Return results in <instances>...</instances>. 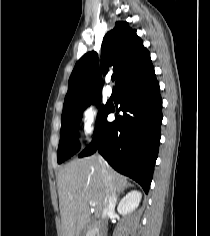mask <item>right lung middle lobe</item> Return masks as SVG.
<instances>
[{
  "label": "right lung middle lobe",
  "instance_id": "dd1d6c3e",
  "mask_svg": "<svg viewBox=\"0 0 210 236\" xmlns=\"http://www.w3.org/2000/svg\"><path fill=\"white\" fill-rule=\"evenodd\" d=\"M100 97L94 98L86 102L80 108L70 110L62 113L60 142L58 146V163H62L66 159L70 158L80 149V143L78 140V129L80 124V116L90 104L96 103L99 106ZM109 106H101L95 131L98 129L102 119L106 115Z\"/></svg>",
  "mask_w": 210,
  "mask_h": 236
}]
</instances>
